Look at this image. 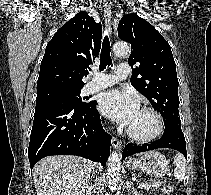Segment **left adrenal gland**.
I'll use <instances>...</instances> for the list:
<instances>
[{"label":"left adrenal gland","instance_id":"1","mask_svg":"<svg viewBox=\"0 0 211 195\" xmlns=\"http://www.w3.org/2000/svg\"><path fill=\"white\" fill-rule=\"evenodd\" d=\"M127 191L129 193H133L134 195H137V190L133 186V182L129 179L126 180V187Z\"/></svg>","mask_w":211,"mask_h":195}]
</instances>
